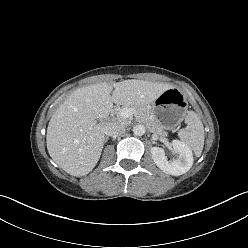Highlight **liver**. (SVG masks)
I'll list each match as a JSON object with an SVG mask.
<instances>
[{"label": "liver", "mask_w": 248, "mask_h": 248, "mask_svg": "<svg viewBox=\"0 0 248 248\" xmlns=\"http://www.w3.org/2000/svg\"><path fill=\"white\" fill-rule=\"evenodd\" d=\"M169 88L168 84L131 79L76 89L49 121L46 143L50 157L72 176L87 175L96 166L105 140L104 127L96 119L108 116L113 103L143 106Z\"/></svg>", "instance_id": "1"}]
</instances>
